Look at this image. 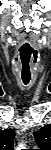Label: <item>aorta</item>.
I'll return each instance as SVG.
<instances>
[{
    "label": "aorta",
    "mask_w": 51,
    "mask_h": 150,
    "mask_svg": "<svg viewBox=\"0 0 51 150\" xmlns=\"http://www.w3.org/2000/svg\"><path fill=\"white\" fill-rule=\"evenodd\" d=\"M23 148V144H20L17 149H22Z\"/></svg>",
    "instance_id": "762f6f07"
}]
</instances>
